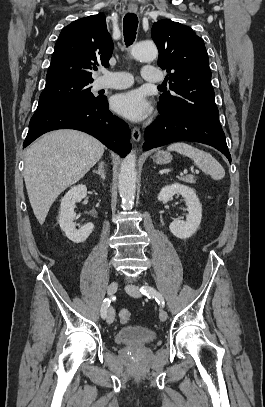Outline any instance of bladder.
<instances>
[{
  "mask_svg": "<svg viewBox=\"0 0 265 407\" xmlns=\"http://www.w3.org/2000/svg\"><path fill=\"white\" fill-rule=\"evenodd\" d=\"M157 337L154 330L143 326H126L114 336V341L122 345L143 346L153 342Z\"/></svg>",
  "mask_w": 265,
  "mask_h": 407,
  "instance_id": "bladder-1",
  "label": "bladder"
}]
</instances>
